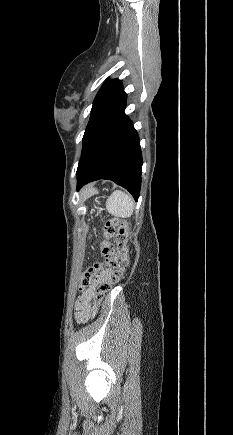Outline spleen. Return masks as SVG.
<instances>
[{
    "instance_id": "3e777b00",
    "label": "spleen",
    "mask_w": 233,
    "mask_h": 435,
    "mask_svg": "<svg viewBox=\"0 0 233 435\" xmlns=\"http://www.w3.org/2000/svg\"><path fill=\"white\" fill-rule=\"evenodd\" d=\"M107 211L116 217L126 218L133 214L134 200L123 191L116 190L106 202Z\"/></svg>"
}]
</instances>
